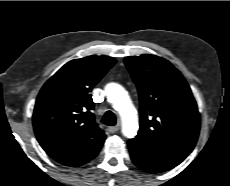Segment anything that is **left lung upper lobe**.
Segmentation results:
<instances>
[{"mask_svg":"<svg viewBox=\"0 0 230 186\" xmlns=\"http://www.w3.org/2000/svg\"><path fill=\"white\" fill-rule=\"evenodd\" d=\"M124 61L140 98V129L134 139L188 156L198 139L200 115L182 74L155 55L131 56Z\"/></svg>","mask_w":230,"mask_h":186,"instance_id":"left-lung-upper-lobe-1","label":"left lung upper lobe"}]
</instances>
